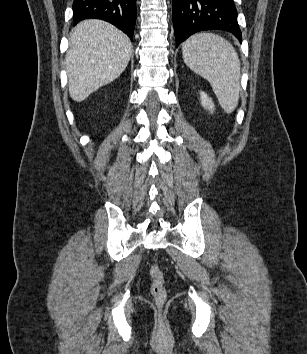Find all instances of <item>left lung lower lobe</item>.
I'll return each instance as SVG.
<instances>
[{"label": "left lung lower lobe", "instance_id": "obj_1", "mask_svg": "<svg viewBox=\"0 0 307 354\" xmlns=\"http://www.w3.org/2000/svg\"><path fill=\"white\" fill-rule=\"evenodd\" d=\"M176 46L203 30H224L241 42L233 0H172Z\"/></svg>", "mask_w": 307, "mask_h": 354}]
</instances>
